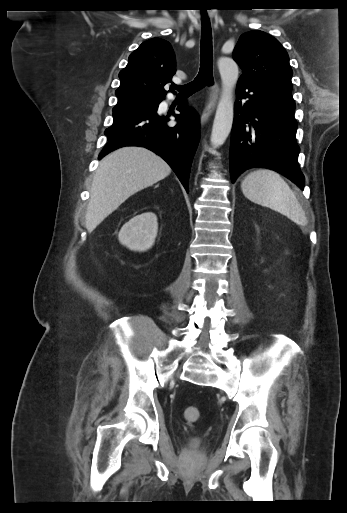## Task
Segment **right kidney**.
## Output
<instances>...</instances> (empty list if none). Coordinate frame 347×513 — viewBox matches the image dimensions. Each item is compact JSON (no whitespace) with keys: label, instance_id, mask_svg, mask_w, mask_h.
I'll use <instances>...</instances> for the list:
<instances>
[{"label":"right kidney","instance_id":"ca27d5eb","mask_svg":"<svg viewBox=\"0 0 347 513\" xmlns=\"http://www.w3.org/2000/svg\"><path fill=\"white\" fill-rule=\"evenodd\" d=\"M157 231L156 214L145 212L125 223L118 234V239L130 250L144 252L154 245Z\"/></svg>","mask_w":347,"mask_h":513}]
</instances>
